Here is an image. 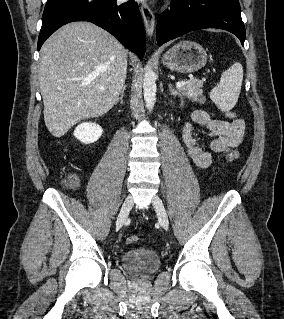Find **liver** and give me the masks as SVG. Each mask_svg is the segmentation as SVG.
I'll return each instance as SVG.
<instances>
[{
	"instance_id": "1",
	"label": "liver",
	"mask_w": 284,
	"mask_h": 319,
	"mask_svg": "<svg viewBox=\"0 0 284 319\" xmlns=\"http://www.w3.org/2000/svg\"><path fill=\"white\" fill-rule=\"evenodd\" d=\"M127 72V51L107 31L73 22L41 48L40 91L44 121L54 137L77 122L107 113L117 102Z\"/></svg>"
}]
</instances>
